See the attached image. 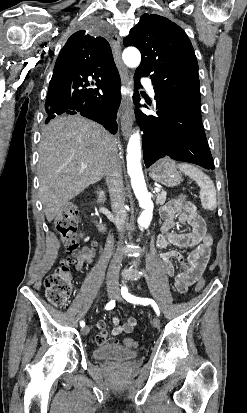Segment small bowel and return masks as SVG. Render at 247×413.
<instances>
[{
    "instance_id": "c3829d8e",
    "label": "small bowel",
    "mask_w": 247,
    "mask_h": 413,
    "mask_svg": "<svg viewBox=\"0 0 247 413\" xmlns=\"http://www.w3.org/2000/svg\"><path fill=\"white\" fill-rule=\"evenodd\" d=\"M163 223L161 233L157 238V245L163 249L160 258L166 272L174 277V287L180 292H186L188 286L200 277L207 260L204 258L207 252L205 240L207 236L206 225L194 204L169 203L161 210ZM188 226L191 231L184 233H173L174 227ZM169 245L180 248H193L188 257H183L174 250H164ZM96 252L92 248H83L75 255V269L80 271L86 264L91 263L95 258ZM172 259H177L181 264V271L176 272ZM103 321V320H101ZM100 322V321H99ZM98 322V323H99ZM105 322V321H103ZM114 328L112 334L107 329H100L96 340L98 343L107 342L109 349L118 347V336L121 333H131L137 325L134 317H128L125 323H121L117 317H113ZM106 324V323H105ZM98 325V324H97Z\"/></svg>"
}]
</instances>
